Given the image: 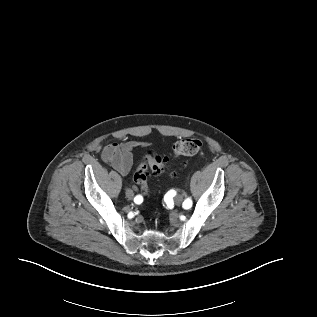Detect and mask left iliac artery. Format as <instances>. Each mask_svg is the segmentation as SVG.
<instances>
[{"label": "left iliac artery", "mask_w": 317, "mask_h": 317, "mask_svg": "<svg viewBox=\"0 0 317 317\" xmlns=\"http://www.w3.org/2000/svg\"><path fill=\"white\" fill-rule=\"evenodd\" d=\"M192 206V200L188 197L185 199L184 203H183V207L185 209H188Z\"/></svg>", "instance_id": "left-iliac-artery-1"}]
</instances>
